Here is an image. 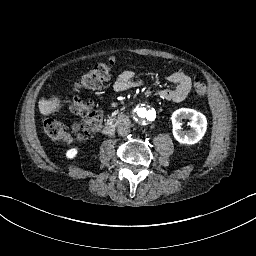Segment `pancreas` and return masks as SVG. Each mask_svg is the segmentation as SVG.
<instances>
[{
  "label": "pancreas",
  "instance_id": "1",
  "mask_svg": "<svg viewBox=\"0 0 256 256\" xmlns=\"http://www.w3.org/2000/svg\"><path fill=\"white\" fill-rule=\"evenodd\" d=\"M116 122L117 124H128L129 123V116L124 113H119L118 111H115L112 113V115H108L107 118L104 119V122L106 124L110 122Z\"/></svg>",
  "mask_w": 256,
  "mask_h": 256
}]
</instances>
